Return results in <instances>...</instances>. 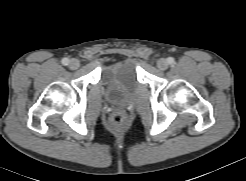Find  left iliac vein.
Instances as JSON below:
<instances>
[{"mask_svg": "<svg viewBox=\"0 0 246 181\" xmlns=\"http://www.w3.org/2000/svg\"><path fill=\"white\" fill-rule=\"evenodd\" d=\"M168 66H169L168 61L164 58H161L157 61V67L160 70H166Z\"/></svg>", "mask_w": 246, "mask_h": 181, "instance_id": "obj_1", "label": "left iliac vein"}]
</instances>
